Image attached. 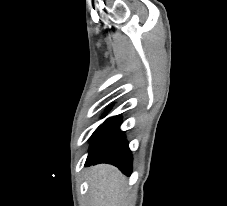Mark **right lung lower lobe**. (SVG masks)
I'll use <instances>...</instances> for the list:
<instances>
[{
    "instance_id": "right-lung-lower-lobe-1",
    "label": "right lung lower lobe",
    "mask_w": 227,
    "mask_h": 206,
    "mask_svg": "<svg viewBox=\"0 0 227 206\" xmlns=\"http://www.w3.org/2000/svg\"><path fill=\"white\" fill-rule=\"evenodd\" d=\"M120 116L107 119L91 136V146L86 166L109 163L118 167L125 175L132 172V155L119 127Z\"/></svg>"
}]
</instances>
